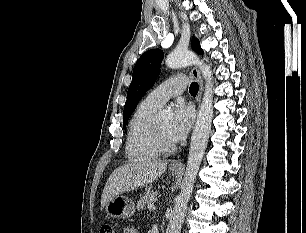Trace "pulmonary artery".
<instances>
[{"label":"pulmonary artery","instance_id":"1","mask_svg":"<svg viewBox=\"0 0 306 233\" xmlns=\"http://www.w3.org/2000/svg\"><path fill=\"white\" fill-rule=\"evenodd\" d=\"M186 88V78L172 76L153 89L144 99L148 104L160 108L168 99L180 95Z\"/></svg>","mask_w":306,"mask_h":233}]
</instances>
